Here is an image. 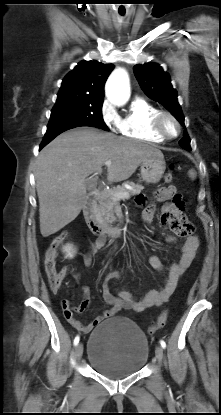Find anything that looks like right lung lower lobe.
Instances as JSON below:
<instances>
[{"label":"right lung lower lobe","mask_w":221,"mask_h":415,"mask_svg":"<svg viewBox=\"0 0 221 415\" xmlns=\"http://www.w3.org/2000/svg\"><path fill=\"white\" fill-rule=\"evenodd\" d=\"M83 125H62V126H51L47 128V132L43 138V141L40 144L39 149L43 148L46 144H48L50 141H52L56 136L61 134L62 132L79 127Z\"/></svg>","instance_id":"right-lung-lower-lobe-1"}]
</instances>
